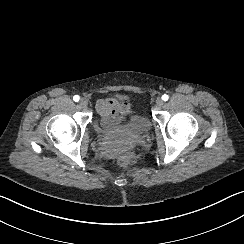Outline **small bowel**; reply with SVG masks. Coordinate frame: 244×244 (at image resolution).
Wrapping results in <instances>:
<instances>
[{
  "mask_svg": "<svg viewBox=\"0 0 244 244\" xmlns=\"http://www.w3.org/2000/svg\"><path fill=\"white\" fill-rule=\"evenodd\" d=\"M97 111L103 122L109 125L125 120L129 114V106L114 98H106L97 103Z\"/></svg>",
  "mask_w": 244,
  "mask_h": 244,
  "instance_id": "c3829d8e",
  "label": "small bowel"
}]
</instances>
